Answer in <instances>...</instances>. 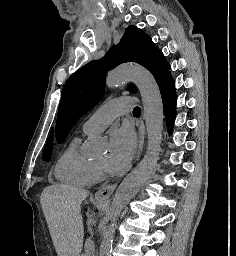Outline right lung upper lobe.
I'll list each match as a JSON object with an SVG mask.
<instances>
[{
  "mask_svg": "<svg viewBox=\"0 0 236 256\" xmlns=\"http://www.w3.org/2000/svg\"><path fill=\"white\" fill-rule=\"evenodd\" d=\"M53 142V130L50 133L48 143Z\"/></svg>",
  "mask_w": 236,
  "mask_h": 256,
  "instance_id": "1",
  "label": "right lung upper lobe"
}]
</instances>
